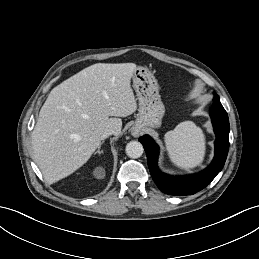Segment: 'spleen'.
I'll list each match as a JSON object with an SVG mask.
<instances>
[{
  "mask_svg": "<svg viewBox=\"0 0 259 259\" xmlns=\"http://www.w3.org/2000/svg\"><path fill=\"white\" fill-rule=\"evenodd\" d=\"M165 144L171 161L182 169L201 164L205 155L202 130L192 121H184L165 134Z\"/></svg>",
  "mask_w": 259,
  "mask_h": 259,
  "instance_id": "spleen-1",
  "label": "spleen"
}]
</instances>
